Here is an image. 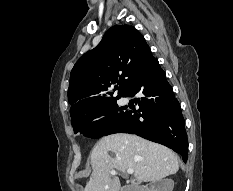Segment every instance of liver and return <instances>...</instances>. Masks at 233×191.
<instances>
[{
    "label": "liver",
    "instance_id": "liver-1",
    "mask_svg": "<svg viewBox=\"0 0 233 191\" xmlns=\"http://www.w3.org/2000/svg\"><path fill=\"white\" fill-rule=\"evenodd\" d=\"M92 174L84 191H119L120 180L112 170H134L138 181L156 182L179 169L177 155L169 148L139 136L117 133L101 138L90 154Z\"/></svg>",
    "mask_w": 233,
    "mask_h": 191
}]
</instances>
